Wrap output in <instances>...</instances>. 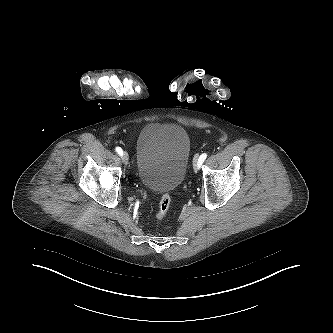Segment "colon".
<instances>
[{
  "label": "colon",
  "mask_w": 333,
  "mask_h": 333,
  "mask_svg": "<svg viewBox=\"0 0 333 333\" xmlns=\"http://www.w3.org/2000/svg\"><path fill=\"white\" fill-rule=\"evenodd\" d=\"M170 204H171L170 195L168 193L162 194L155 214L158 220H163L167 216Z\"/></svg>",
  "instance_id": "colon-1"
}]
</instances>
